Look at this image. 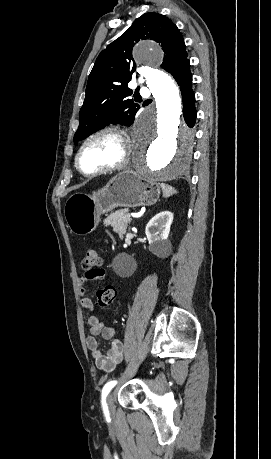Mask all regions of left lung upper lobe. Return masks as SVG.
Returning <instances> with one entry per match:
<instances>
[{
  "label": "left lung upper lobe",
  "instance_id": "left-lung-upper-lobe-1",
  "mask_svg": "<svg viewBox=\"0 0 271 459\" xmlns=\"http://www.w3.org/2000/svg\"><path fill=\"white\" fill-rule=\"evenodd\" d=\"M144 39L154 40L162 46L165 55L161 66L169 73L187 59L183 36L170 19L155 12L137 18L96 59L79 114L80 124L74 135L75 145L78 140L88 137L108 123L133 124L140 106L127 98L133 93L127 85L135 70L133 46Z\"/></svg>",
  "mask_w": 271,
  "mask_h": 459
}]
</instances>
